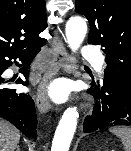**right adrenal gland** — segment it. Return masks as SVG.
Masks as SVG:
<instances>
[{"label":"right adrenal gland","mask_w":131,"mask_h":151,"mask_svg":"<svg viewBox=\"0 0 131 151\" xmlns=\"http://www.w3.org/2000/svg\"><path fill=\"white\" fill-rule=\"evenodd\" d=\"M16 151H20V146H17V147H16Z\"/></svg>","instance_id":"2a0ac1e0"}]
</instances>
